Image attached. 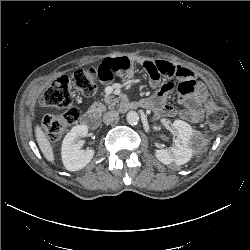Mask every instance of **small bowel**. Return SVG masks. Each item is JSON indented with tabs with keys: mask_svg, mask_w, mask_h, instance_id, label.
I'll return each mask as SVG.
<instances>
[{
	"mask_svg": "<svg viewBox=\"0 0 250 250\" xmlns=\"http://www.w3.org/2000/svg\"><path fill=\"white\" fill-rule=\"evenodd\" d=\"M150 76V85L157 88L162 77L176 78L179 81V100L184 107L178 111L167 103V96L171 92V83L163 84L152 97L142 99L139 103L143 107H149L161 116H174L179 114L183 119L197 123L202 119V104L205 98V89L197 80L193 71L187 67L175 65L168 61L146 60L142 63ZM98 78L103 83L111 82L115 76L125 80L131 79L134 72V63L128 57L108 58L102 61L97 68Z\"/></svg>",
	"mask_w": 250,
	"mask_h": 250,
	"instance_id": "1",
	"label": "small bowel"
}]
</instances>
